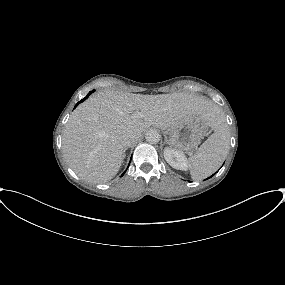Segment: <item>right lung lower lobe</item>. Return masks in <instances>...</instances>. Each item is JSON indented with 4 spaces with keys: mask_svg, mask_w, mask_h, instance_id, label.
Returning a JSON list of instances; mask_svg holds the SVG:
<instances>
[{
    "mask_svg": "<svg viewBox=\"0 0 285 285\" xmlns=\"http://www.w3.org/2000/svg\"><path fill=\"white\" fill-rule=\"evenodd\" d=\"M94 92V90L93 91H91V92H89L88 93V95L85 97V98H83L81 101H79L77 104H76V106L75 107H77V105L78 104H80L81 102H83L85 99H87L88 98V96L91 94V93H93ZM124 174V173H123Z\"/></svg>",
    "mask_w": 285,
    "mask_h": 285,
    "instance_id": "right-lung-lower-lobe-1",
    "label": "right lung lower lobe"
}]
</instances>
